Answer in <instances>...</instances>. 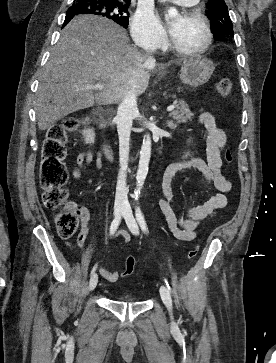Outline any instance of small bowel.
Listing matches in <instances>:
<instances>
[{
  "mask_svg": "<svg viewBox=\"0 0 276 363\" xmlns=\"http://www.w3.org/2000/svg\"><path fill=\"white\" fill-rule=\"evenodd\" d=\"M198 123L207 130L206 154L207 159L191 158L183 162L169 165L162 179V189L164 197L158 202L163 212L168 227L172 235L179 241L189 242L196 238L197 229L202 222L212 217L217 210L227 205L226 193L232 189V183L221 172L223 164V150L227 142L226 133L215 121L214 116L209 112H202L198 117ZM97 167H101V156L94 155L91 151L80 153L76 157V165L72 171L73 178H79L83 170L94 161ZM185 169H195L203 177L204 185L213 183L218 193L211 196L206 202L197 206H190L186 210V216L180 217L173 205L172 181L175 174ZM76 210L81 220V230L77 236V244L84 248L86 238L90 232V213L85 206L72 203L70 205ZM121 235L126 242L130 241V236L126 232H118L115 236ZM100 276L109 282H117L120 278L119 273L110 272L103 267L98 268Z\"/></svg>",
  "mask_w": 276,
  "mask_h": 363,
  "instance_id": "1",
  "label": "small bowel"
}]
</instances>
